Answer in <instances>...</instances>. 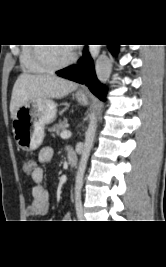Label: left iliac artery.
Masks as SVG:
<instances>
[{
	"instance_id": "1",
	"label": "left iliac artery",
	"mask_w": 166,
	"mask_h": 267,
	"mask_svg": "<svg viewBox=\"0 0 166 267\" xmlns=\"http://www.w3.org/2000/svg\"><path fill=\"white\" fill-rule=\"evenodd\" d=\"M76 213L79 220L83 219V207L81 202L76 203Z\"/></svg>"
}]
</instances>
